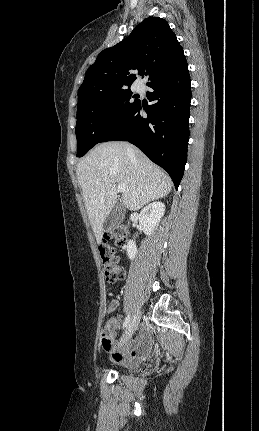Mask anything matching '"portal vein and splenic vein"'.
Wrapping results in <instances>:
<instances>
[{"label": "portal vein and splenic vein", "instance_id": "obj_1", "mask_svg": "<svg viewBox=\"0 0 259 431\" xmlns=\"http://www.w3.org/2000/svg\"><path fill=\"white\" fill-rule=\"evenodd\" d=\"M117 189H118L119 192H123L124 193L126 191V184L119 183L118 186H117Z\"/></svg>", "mask_w": 259, "mask_h": 431}]
</instances>
